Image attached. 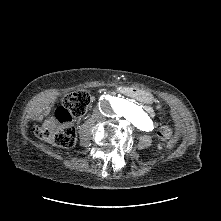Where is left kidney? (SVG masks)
Wrapping results in <instances>:
<instances>
[{
  "label": "left kidney",
  "instance_id": "left-kidney-1",
  "mask_svg": "<svg viewBox=\"0 0 221 221\" xmlns=\"http://www.w3.org/2000/svg\"><path fill=\"white\" fill-rule=\"evenodd\" d=\"M158 149L161 150L162 149V146L160 144H158Z\"/></svg>",
  "mask_w": 221,
  "mask_h": 221
}]
</instances>
